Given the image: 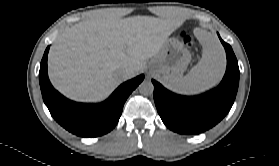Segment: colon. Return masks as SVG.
Listing matches in <instances>:
<instances>
[{
	"label": "colon",
	"mask_w": 279,
	"mask_h": 166,
	"mask_svg": "<svg viewBox=\"0 0 279 166\" xmlns=\"http://www.w3.org/2000/svg\"><path fill=\"white\" fill-rule=\"evenodd\" d=\"M180 39L185 46H191L193 44V37L187 31L181 32Z\"/></svg>",
	"instance_id": "5ec220e1"
}]
</instances>
